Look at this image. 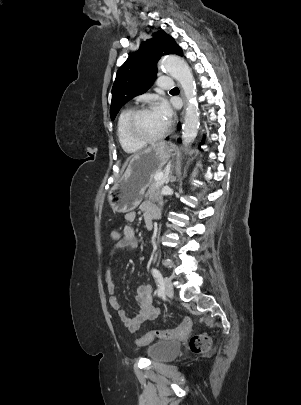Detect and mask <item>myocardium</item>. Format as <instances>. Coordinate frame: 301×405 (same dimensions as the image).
Returning a JSON list of instances; mask_svg holds the SVG:
<instances>
[{"instance_id":"obj_1","label":"myocardium","mask_w":301,"mask_h":405,"mask_svg":"<svg viewBox=\"0 0 301 405\" xmlns=\"http://www.w3.org/2000/svg\"><path fill=\"white\" fill-rule=\"evenodd\" d=\"M150 109H152V108L149 106H142V107L136 108L135 110L131 111L130 115L128 116V119L126 122V132H127L128 137L135 143H138L141 145H147V144H152V143L158 142V141L162 140L163 138H165L170 131L171 125H170V123H167V126L165 127V129L160 134H158L154 137H144V136L139 135L136 132L137 119L139 118V116L141 114H143L144 112H146Z\"/></svg>"}]
</instances>
